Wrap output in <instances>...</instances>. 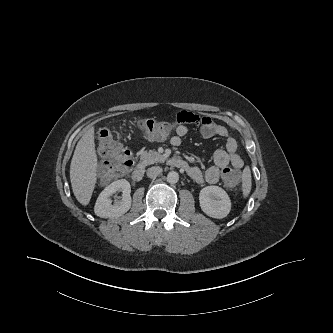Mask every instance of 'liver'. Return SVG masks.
<instances>
[{
    "label": "liver",
    "mask_w": 333,
    "mask_h": 333,
    "mask_svg": "<svg viewBox=\"0 0 333 333\" xmlns=\"http://www.w3.org/2000/svg\"><path fill=\"white\" fill-rule=\"evenodd\" d=\"M98 158L95 150L94 127L78 141L70 164L73 193L82 205L89 204L97 181Z\"/></svg>",
    "instance_id": "obj_1"
}]
</instances>
